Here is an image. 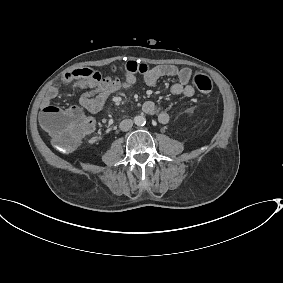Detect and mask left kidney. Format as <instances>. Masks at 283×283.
Here are the masks:
<instances>
[{
  "label": "left kidney",
  "mask_w": 283,
  "mask_h": 283,
  "mask_svg": "<svg viewBox=\"0 0 283 283\" xmlns=\"http://www.w3.org/2000/svg\"><path fill=\"white\" fill-rule=\"evenodd\" d=\"M186 112H187V114H188V118H191V117L194 116V111H193L191 108L187 109Z\"/></svg>",
  "instance_id": "5707ae66"
}]
</instances>
